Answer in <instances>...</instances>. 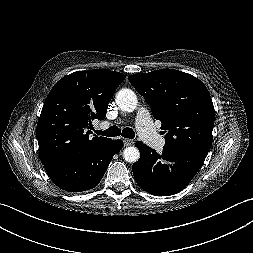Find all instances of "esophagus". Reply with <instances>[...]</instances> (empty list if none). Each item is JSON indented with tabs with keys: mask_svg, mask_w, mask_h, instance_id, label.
Listing matches in <instances>:
<instances>
[{
	"mask_svg": "<svg viewBox=\"0 0 253 253\" xmlns=\"http://www.w3.org/2000/svg\"><path fill=\"white\" fill-rule=\"evenodd\" d=\"M134 144V141L131 140V139H124V145L125 146H130V145H133Z\"/></svg>",
	"mask_w": 253,
	"mask_h": 253,
	"instance_id": "34e87169",
	"label": "esophagus"
}]
</instances>
